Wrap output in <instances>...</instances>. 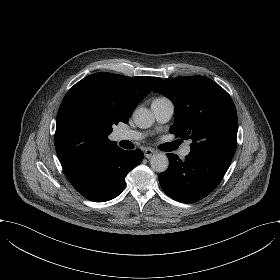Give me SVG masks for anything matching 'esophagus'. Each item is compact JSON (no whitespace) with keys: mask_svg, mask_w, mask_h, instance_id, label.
<instances>
[{"mask_svg":"<svg viewBox=\"0 0 280 280\" xmlns=\"http://www.w3.org/2000/svg\"><path fill=\"white\" fill-rule=\"evenodd\" d=\"M156 151L153 148H146L144 150V155L146 158H150Z\"/></svg>","mask_w":280,"mask_h":280,"instance_id":"34e87169","label":"esophagus"}]
</instances>
